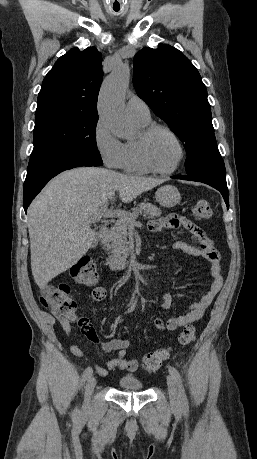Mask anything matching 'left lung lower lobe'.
<instances>
[{
  "label": "left lung lower lobe",
  "mask_w": 257,
  "mask_h": 459,
  "mask_svg": "<svg viewBox=\"0 0 257 459\" xmlns=\"http://www.w3.org/2000/svg\"><path fill=\"white\" fill-rule=\"evenodd\" d=\"M172 178L202 182V183H205V184H208L214 187L222 194L227 207H229V197H228V188H227V183H226V174L223 175L216 171H212L207 174L198 175V176L176 175V176H173Z\"/></svg>",
  "instance_id": "obj_1"
}]
</instances>
